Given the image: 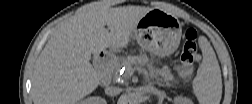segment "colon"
<instances>
[{
    "label": "colon",
    "mask_w": 252,
    "mask_h": 104,
    "mask_svg": "<svg viewBox=\"0 0 252 104\" xmlns=\"http://www.w3.org/2000/svg\"><path fill=\"white\" fill-rule=\"evenodd\" d=\"M197 32L194 29H188L184 34V45L181 54V63L184 68V74L190 75V70L198 60Z\"/></svg>",
    "instance_id": "1"
}]
</instances>
